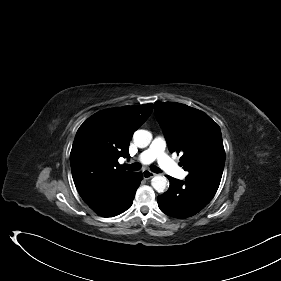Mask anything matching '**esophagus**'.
<instances>
[{"label":"esophagus","instance_id":"1","mask_svg":"<svg viewBox=\"0 0 281 281\" xmlns=\"http://www.w3.org/2000/svg\"><path fill=\"white\" fill-rule=\"evenodd\" d=\"M156 174L151 172L150 170H144L143 171V177L144 179H150L152 177H154Z\"/></svg>","mask_w":281,"mask_h":281}]
</instances>
